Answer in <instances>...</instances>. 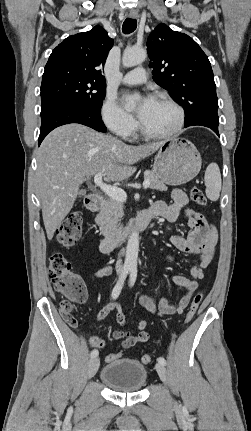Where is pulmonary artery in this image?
Here are the masks:
<instances>
[{
	"mask_svg": "<svg viewBox=\"0 0 251 431\" xmlns=\"http://www.w3.org/2000/svg\"><path fill=\"white\" fill-rule=\"evenodd\" d=\"M147 79V74L144 68L138 67L124 74L121 81L125 84L136 85L144 83Z\"/></svg>",
	"mask_w": 251,
	"mask_h": 431,
	"instance_id": "1",
	"label": "pulmonary artery"
}]
</instances>
